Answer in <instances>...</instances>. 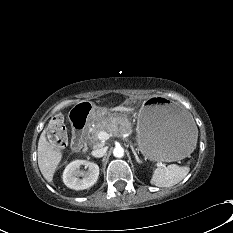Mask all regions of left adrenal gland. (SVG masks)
<instances>
[{
	"mask_svg": "<svg viewBox=\"0 0 233 233\" xmlns=\"http://www.w3.org/2000/svg\"><path fill=\"white\" fill-rule=\"evenodd\" d=\"M131 149H132V152H133V154H134V156H135L136 161H137L138 163H141V161H140V159H139V157H138L136 151L134 150L133 146H131Z\"/></svg>",
	"mask_w": 233,
	"mask_h": 233,
	"instance_id": "a2214340",
	"label": "left adrenal gland"
}]
</instances>
